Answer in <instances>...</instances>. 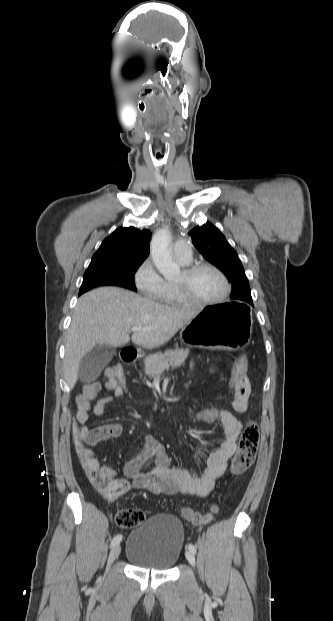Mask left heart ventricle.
I'll list each match as a JSON object with an SVG mask.
<instances>
[{"label": "left heart ventricle", "mask_w": 333, "mask_h": 621, "mask_svg": "<svg viewBox=\"0 0 333 621\" xmlns=\"http://www.w3.org/2000/svg\"><path fill=\"white\" fill-rule=\"evenodd\" d=\"M185 280L183 271L178 275L175 282ZM187 285L191 295L197 299L210 300L219 297L224 291L222 279L211 270H201L187 279Z\"/></svg>", "instance_id": "obj_1"}]
</instances>
